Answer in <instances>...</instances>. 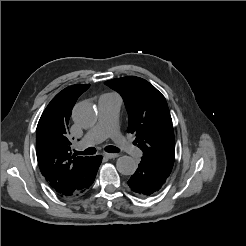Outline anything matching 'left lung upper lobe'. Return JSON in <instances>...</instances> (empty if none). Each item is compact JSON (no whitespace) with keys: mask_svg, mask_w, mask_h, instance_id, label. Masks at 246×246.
<instances>
[{"mask_svg":"<svg viewBox=\"0 0 246 246\" xmlns=\"http://www.w3.org/2000/svg\"><path fill=\"white\" fill-rule=\"evenodd\" d=\"M123 98L128 112V133L149 160L171 173L175 159L172 119L164 96L148 81L128 76L105 82Z\"/></svg>","mask_w":246,"mask_h":246,"instance_id":"1","label":"left lung upper lobe"}]
</instances>
